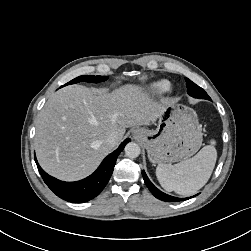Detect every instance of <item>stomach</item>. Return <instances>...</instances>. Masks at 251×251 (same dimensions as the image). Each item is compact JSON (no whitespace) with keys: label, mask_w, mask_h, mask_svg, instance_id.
<instances>
[{"label":"stomach","mask_w":251,"mask_h":251,"mask_svg":"<svg viewBox=\"0 0 251 251\" xmlns=\"http://www.w3.org/2000/svg\"><path fill=\"white\" fill-rule=\"evenodd\" d=\"M156 129H139V139L152 163L186 160L201 147L203 137L195 111L175 101L162 109Z\"/></svg>","instance_id":"0dacf381"}]
</instances>
